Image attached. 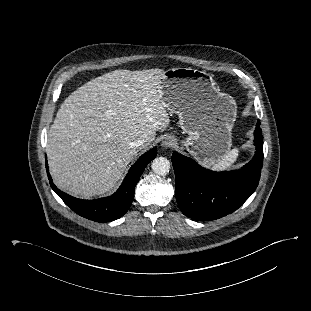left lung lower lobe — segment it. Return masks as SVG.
I'll use <instances>...</instances> for the list:
<instances>
[{
	"label": "left lung lower lobe",
	"mask_w": 311,
	"mask_h": 311,
	"mask_svg": "<svg viewBox=\"0 0 311 311\" xmlns=\"http://www.w3.org/2000/svg\"><path fill=\"white\" fill-rule=\"evenodd\" d=\"M256 153L240 170L213 172L177 152L172 155L178 205L184 215L200 221L219 219L237 210L258 186L263 164L260 121L254 132Z\"/></svg>",
	"instance_id": "0a47b994"
}]
</instances>
